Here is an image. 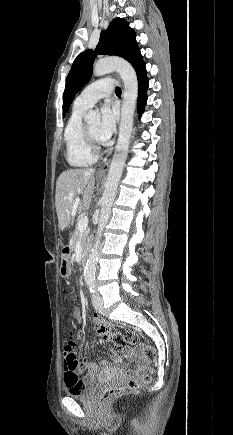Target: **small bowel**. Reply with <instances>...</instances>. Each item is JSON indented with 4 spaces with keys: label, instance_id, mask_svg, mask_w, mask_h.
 Masks as SVG:
<instances>
[{
    "label": "small bowel",
    "instance_id": "1",
    "mask_svg": "<svg viewBox=\"0 0 233 435\" xmlns=\"http://www.w3.org/2000/svg\"><path fill=\"white\" fill-rule=\"evenodd\" d=\"M67 287H63V291H66ZM74 316L77 321H80L81 315L80 311L76 310L74 312ZM92 321L97 326L96 330V337H99L100 339L107 341L110 339V333L108 331V326L101 320V317L97 313L92 314ZM70 337H73V334H70ZM123 353L125 356H127L131 361H134L137 363V367L135 371H141L143 365L142 360L139 357L137 351L131 347H124ZM111 357L113 359L112 362L108 360H102L100 364H89V361L87 358L83 357L80 358L78 354L76 353H70L64 355V363H63V376H64V384L67 388H69V382L67 380L68 375H77L82 373L89 365L90 368L86 372L83 383L87 384L95 380L98 376H101L103 374H107L113 371H120L124 368V364L122 361H120L117 354L111 350L110 351Z\"/></svg>",
    "mask_w": 233,
    "mask_h": 435
}]
</instances>
